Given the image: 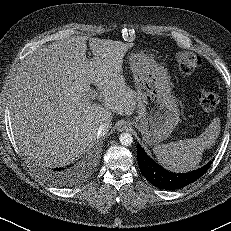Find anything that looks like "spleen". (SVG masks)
Segmentation results:
<instances>
[{
    "mask_svg": "<svg viewBox=\"0 0 231 231\" xmlns=\"http://www.w3.org/2000/svg\"><path fill=\"white\" fill-rule=\"evenodd\" d=\"M219 132L220 119L214 118L199 137L157 145L153 152L158 162L167 170L177 173L189 172L197 169L203 151L213 146Z\"/></svg>",
    "mask_w": 231,
    "mask_h": 231,
    "instance_id": "obj_1",
    "label": "spleen"
}]
</instances>
